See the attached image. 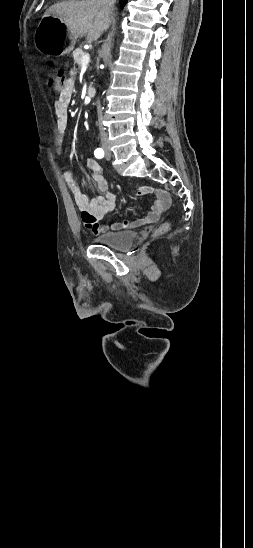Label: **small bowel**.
I'll return each instance as SVG.
<instances>
[{
  "instance_id": "small-bowel-1",
  "label": "small bowel",
  "mask_w": 253,
  "mask_h": 548,
  "mask_svg": "<svg viewBox=\"0 0 253 548\" xmlns=\"http://www.w3.org/2000/svg\"><path fill=\"white\" fill-rule=\"evenodd\" d=\"M75 90V81L70 78L66 82L64 91L54 103V112L56 115L57 151L62 153L63 136L67 130L69 122V105ZM87 166L91 170V178L100 195L90 199L79 189L74 175L67 171L64 173L65 183L71 192L74 201L82 212V219L87 229L97 235L108 230H120L123 228H134L144 224L152 223L158 220L161 214L166 211L171 204L169 192L163 189L156 190L155 205L143 217L134 220H124L123 222H113L107 226H102L99 221L109 212L113 211L117 205L116 196L110 192L108 183L102 174L100 165L92 158L87 159ZM153 191L149 186H143L137 191V196L145 197Z\"/></svg>"
}]
</instances>
